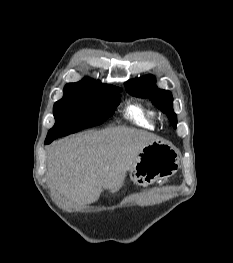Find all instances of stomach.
<instances>
[{
  "mask_svg": "<svg viewBox=\"0 0 233 263\" xmlns=\"http://www.w3.org/2000/svg\"><path fill=\"white\" fill-rule=\"evenodd\" d=\"M179 155L173 145L156 140L139 152L130 170V177L135 184L144 187L171 177L179 168ZM118 189L119 187L113 192Z\"/></svg>",
  "mask_w": 233,
  "mask_h": 263,
  "instance_id": "stomach-1",
  "label": "stomach"
}]
</instances>
